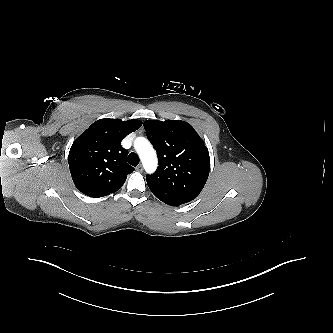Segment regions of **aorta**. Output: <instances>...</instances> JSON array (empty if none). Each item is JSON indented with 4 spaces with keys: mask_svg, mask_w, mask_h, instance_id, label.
<instances>
[{
    "mask_svg": "<svg viewBox=\"0 0 333 333\" xmlns=\"http://www.w3.org/2000/svg\"><path fill=\"white\" fill-rule=\"evenodd\" d=\"M134 148L142 161L145 171L153 173L157 168L158 160L150 142L144 137H137L134 141Z\"/></svg>",
    "mask_w": 333,
    "mask_h": 333,
    "instance_id": "aorta-1",
    "label": "aorta"
}]
</instances>
